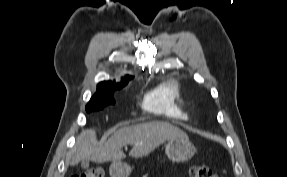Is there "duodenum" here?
Here are the masks:
<instances>
[{
    "mask_svg": "<svg viewBox=\"0 0 287 177\" xmlns=\"http://www.w3.org/2000/svg\"><path fill=\"white\" fill-rule=\"evenodd\" d=\"M116 173L119 174V175L125 174V172H124L123 170H121V169H118V170L116 171Z\"/></svg>",
    "mask_w": 287,
    "mask_h": 177,
    "instance_id": "duodenum-1",
    "label": "duodenum"
}]
</instances>
